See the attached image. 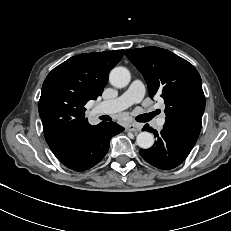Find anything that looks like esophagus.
<instances>
[{
  "instance_id": "obj_1",
  "label": "esophagus",
  "mask_w": 231,
  "mask_h": 231,
  "mask_svg": "<svg viewBox=\"0 0 231 231\" xmlns=\"http://www.w3.org/2000/svg\"><path fill=\"white\" fill-rule=\"evenodd\" d=\"M127 131H130V132H139L141 131V126L139 124H129L127 126Z\"/></svg>"
}]
</instances>
